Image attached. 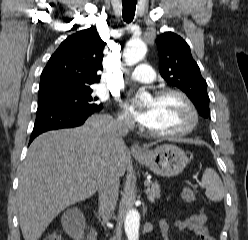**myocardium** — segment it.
Here are the masks:
<instances>
[{
  "label": "myocardium",
  "instance_id": "obj_1",
  "mask_svg": "<svg viewBox=\"0 0 248 240\" xmlns=\"http://www.w3.org/2000/svg\"><path fill=\"white\" fill-rule=\"evenodd\" d=\"M167 95L178 96L179 98H181L184 101V103L186 104L187 109L190 113V121L185 127L181 128L177 131L158 132V131L148 129L147 130L148 133L155 136V137L166 138V139L182 137L184 135L189 134L197 127V125L199 123V114H198L196 106L194 105L191 98L184 91H182L180 89L167 87V88L159 89L155 92V98H160V97L167 96Z\"/></svg>",
  "mask_w": 248,
  "mask_h": 240
}]
</instances>
